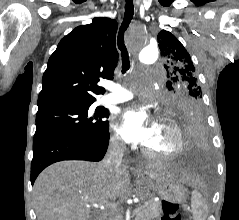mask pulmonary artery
Masks as SVG:
<instances>
[{
    "mask_svg": "<svg viewBox=\"0 0 239 220\" xmlns=\"http://www.w3.org/2000/svg\"><path fill=\"white\" fill-rule=\"evenodd\" d=\"M108 90L110 93L105 96L106 103H122L131 100L134 97V93L121 84L111 83L108 85Z\"/></svg>",
    "mask_w": 239,
    "mask_h": 220,
    "instance_id": "1",
    "label": "pulmonary artery"
}]
</instances>
